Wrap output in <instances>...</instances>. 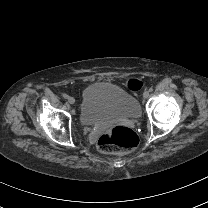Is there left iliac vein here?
Here are the masks:
<instances>
[{
	"mask_svg": "<svg viewBox=\"0 0 208 208\" xmlns=\"http://www.w3.org/2000/svg\"><path fill=\"white\" fill-rule=\"evenodd\" d=\"M149 94H150V93H149L148 91H144L143 97H144V98H148V97H149Z\"/></svg>",
	"mask_w": 208,
	"mask_h": 208,
	"instance_id": "1",
	"label": "left iliac vein"
}]
</instances>
